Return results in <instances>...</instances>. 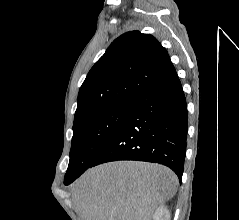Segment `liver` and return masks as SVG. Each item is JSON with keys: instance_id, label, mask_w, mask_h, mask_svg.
<instances>
[{"instance_id": "liver-1", "label": "liver", "mask_w": 239, "mask_h": 220, "mask_svg": "<svg viewBox=\"0 0 239 220\" xmlns=\"http://www.w3.org/2000/svg\"><path fill=\"white\" fill-rule=\"evenodd\" d=\"M177 185V176L165 166L115 161L87 170L72 192L81 220H152Z\"/></svg>"}]
</instances>
